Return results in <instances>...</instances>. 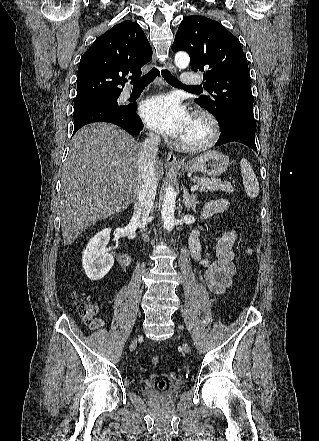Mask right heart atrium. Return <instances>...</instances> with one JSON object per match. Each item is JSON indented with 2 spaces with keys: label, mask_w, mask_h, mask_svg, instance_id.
Here are the masks:
<instances>
[{
  "label": "right heart atrium",
  "mask_w": 319,
  "mask_h": 441,
  "mask_svg": "<svg viewBox=\"0 0 319 441\" xmlns=\"http://www.w3.org/2000/svg\"><path fill=\"white\" fill-rule=\"evenodd\" d=\"M150 137H151L152 139H157V136H156V134H154V133H150Z\"/></svg>",
  "instance_id": "obj_1"
}]
</instances>
